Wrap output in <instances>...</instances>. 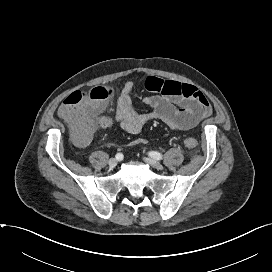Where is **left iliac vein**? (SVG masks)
Instances as JSON below:
<instances>
[{
  "instance_id": "4c4485c4",
  "label": "left iliac vein",
  "mask_w": 272,
  "mask_h": 272,
  "mask_svg": "<svg viewBox=\"0 0 272 272\" xmlns=\"http://www.w3.org/2000/svg\"><path fill=\"white\" fill-rule=\"evenodd\" d=\"M144 161L148 163L150 166H152L153 168H156L158 170L163 169V165L156 160H152L150 158H144Z\"/></svg>"
}]
</instances>
